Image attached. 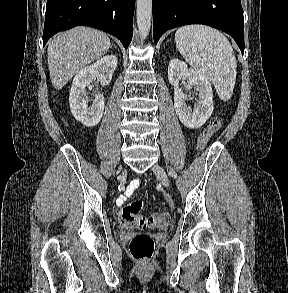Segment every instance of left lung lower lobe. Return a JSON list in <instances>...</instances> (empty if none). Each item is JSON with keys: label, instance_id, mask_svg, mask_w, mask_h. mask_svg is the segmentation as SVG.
<instances>
[{"label": "left lung lower lobe", "instance_id": "left-lung-lower-lobe-1", "mask_svg": "<svg viewBox=\"0 0 288 293\" xmlns=\"http://www.w3.org/2000/svg\"><path fill=\"white\" fill-rule=\"evenodd\" d=\"M204 24L228 33L244 52V18L240 0H153V38L167 30Z\"/></svg>", "mask_w": 288, "mask_h": 293}]
</instances>
